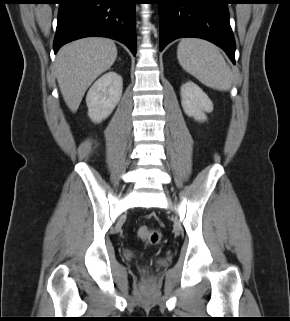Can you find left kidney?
I'll return each mask as SVG.
<instances>
[{
	"label": "left kidney",
	"mask_w": 290,
	"mask_h": 321,
	"mask_svg": "<svg viewBox=\"0 0 290 321\" xmlns=\"http://www.w3.org/2000/svg\"><path fill=\"white\" fill-rule=\"evenodd\" d=\"M181 104L184 112L197 121H205L207 119L205 112L213 111L209 97L191 81L181 86Z\"/></svg>",
	"instance_id": "5707ae66"
}]
</instances>
